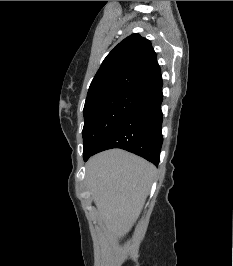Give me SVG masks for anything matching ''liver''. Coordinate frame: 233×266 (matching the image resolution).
<instances>
[{"mask_svg": "<svg viewBox=\"0 0 233 266\" xmlns=\"http://www.w3.org/2000/svg\"><path fill=\"white\" fill-rule=\"evenodd\" d=\"M155 167L121 149L99 153L86 164V180L101 220L115 238L126 235L148 196Z\"/></svg>", "mask_w": 233, "mask_h": 266, "instance_id": "6515ba94", "label": "liver"}]
</instances>
